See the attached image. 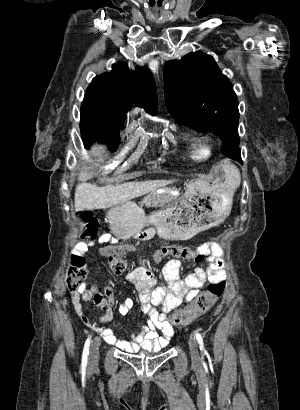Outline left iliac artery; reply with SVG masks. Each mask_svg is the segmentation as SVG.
I'll use <instances>...</instances> for the list:
<instances>
[{"mask_svg":"<svg viewBox=\"0 0 300 410\" xmlns=\"http://www.w3.org/2000/svg\"><path fill=\"white\" fill-rule=\"evenodd\" d=\"M195 336H196V339H197V341H198V343H199L200 350H201L202 352H205L203 337H202L201 334L198 333V332H196Z\"/></svg>","mask_w":300,"mask_h":410,"instance_id":"44dca946","label":"left iliac artery"}]
</instances>
